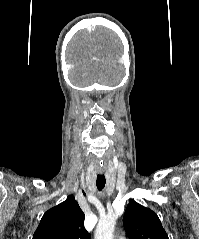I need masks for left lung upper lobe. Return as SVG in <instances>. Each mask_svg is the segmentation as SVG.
<instances>
[{"label":"left lung upper lobe","instance_id":"left-lung-upper-lobe-1","mask_svg":"<svg viewBox=\"0 0 199 239\" xmlns=\"http://www.w3.org/2000/svg\"><path fill=\"white\" fill-rule=\"evenodd\" d=\"M123 224L129 239H169L156 213L134 200L127 205Z\"/></svg>","mask_w":199,"mask_h":239}]
</instances>
